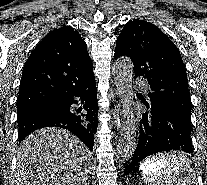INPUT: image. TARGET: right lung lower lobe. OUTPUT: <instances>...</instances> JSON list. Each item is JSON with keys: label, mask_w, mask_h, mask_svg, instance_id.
<instances>
[{"label": "right lung lower lobe", "mask_w": 207, "mask_h": 185, "mask_svg": "<svg viewBox=\"0 0 207 185\" xmlns=\"http://www.w3.org/2000/svg\"><path fill=\"white\" fill-rule=\"evenodd\" d=\"M81 99L82 108L75 110L72 104ZM97 88L95 77L74 85L56 102L17 116L19 143L31 132L44 127H60L75 134L90 150L97 132Z\"/></svg>", "instance_id": "obj_1"}]
</instances>
